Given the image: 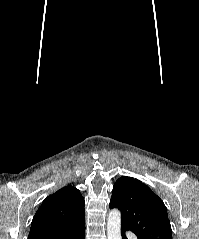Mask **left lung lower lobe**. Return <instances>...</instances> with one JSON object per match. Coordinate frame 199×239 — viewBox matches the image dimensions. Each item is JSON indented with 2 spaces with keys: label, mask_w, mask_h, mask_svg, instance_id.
I'll return each instance as SVG.
<instances>
[{
  "label": "left lung lower lobe",
  "mask_w": 199,
  "mask_h": 239,
  "mask_svg": "<svg viewBox=\"0 0 199 239\" xmlns=\"http://www.w3.org/2000/svg\"><path fill=\"white\" fill-rule=\"evenodd\" d=\"M129 230L128 228H126L125 226L121 225V235H122V239H127L126 235H125V231Z\"/></svg>",
  "instance_id": "1"
}]
</instances>
